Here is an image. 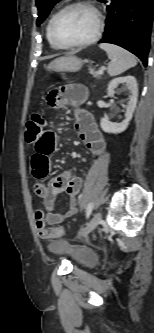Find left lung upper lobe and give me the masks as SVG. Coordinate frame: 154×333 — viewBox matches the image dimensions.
<instances>
[{"mask_svg":"<svg viewBox=\"0 0 154 333\" xmlns=\"http://www.w3.org/2000/svg\"><path fill=\"white\" fill-rule=\"evenodd\" d=\"M60 0H36V5L39 10L37 25L39 26L49 14L52 7ZM101 1V0H100Z\"/></svg>","mask_w":154,"mask_h":333,"instance_id":"left-lung-upper-lobe-1","label":"left lung upper lobe"}]
</instances>
